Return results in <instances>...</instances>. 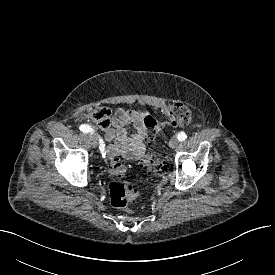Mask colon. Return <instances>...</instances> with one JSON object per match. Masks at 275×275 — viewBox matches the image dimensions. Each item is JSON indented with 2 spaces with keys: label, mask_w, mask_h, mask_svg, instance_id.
Returning <instances> with one entry per match:
<instances>
[{
  "label": "colon",
  "mask_w": 275,
  "mask_h": 275,
  "mask_svg": "<svg viewBox=\"0 0 275 275\" xmlns=\"http://www.w3.org/2000/svg\"><path fill=\"white\" fill-rule=\"evenodd\" d=\"M164 112L170 123L174 126H185L189 124L192 119L190 108L181 102L168 105ZM89 118L95 122L100 129L108 130L111 125V110L105 106L94 107L89 112ZM146 127L148 131L147 142L151 145V141H153L159 132V126L155 119L148 118L146 120ZM140 161L149 172L156 173L163 169L162 160L151 149L144 154ZM109 169L113 175V179L109 184L110 203L115 208L126 209L131 202L139 198L140 193L130 181L122 178L125 167L121 162L116 160L112 161L109 164Z\"/></svg>",
  "instance_id": "obj_1"
}]
</instances>
